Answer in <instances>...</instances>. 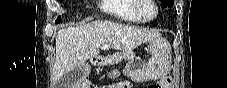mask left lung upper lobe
<instances>
[{
	"label": "left lung upper lobe",
	"mask_w": 227,
	"mask_h": 88,
	"mask_svg": "<svg viewBox=\"0 0 227 88\" xmlns=\"http://www.w3.org/2000/svg\"><path fill=\"white\" fill-rule=\"evenodd\" d=\"M164 7H172L174 0H160Z\"/></svg>",
	"instance_id": "obj_1"
}]
</instances>
